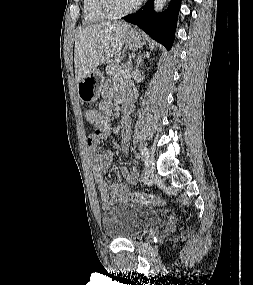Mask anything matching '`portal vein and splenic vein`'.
I'll return each instance as SVG.
<instances>
[{
  "instance_id": "portal-vein-and-splenic-vein-1",
  "label": "portal vein and splenic vein",
  "mask_w": 253,
  "mask_h": 285,
  "mask_svg": "<svg viewBox=\"0 0 253 285\" xmlns=\"http://www.w3.org/2000/svg\"><path fill=\"white\" fill-rule=\"evenodd\" d=\"M124 78H130V70L125 73Z\"/></svg>"
}]
</instances>
